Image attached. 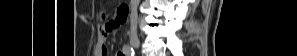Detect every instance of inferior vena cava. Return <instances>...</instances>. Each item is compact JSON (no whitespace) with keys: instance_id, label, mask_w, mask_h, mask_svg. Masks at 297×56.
<instances>
[{"instance_id":"602c4592","label":"inferior vena cava","mask_w":297,"mask_h":56,"mask_svg":"<svg viewBox=\"0 0 297 56\" xmlns=\"http://www.w3.org/2000/svg\"><path fill=\"white\" fill-rule=\"evenodd\" d=\"M139 4V0H131V15H130V21H131V29L136 30L137 27V7Z\"/></svg>"}]
</instances>
